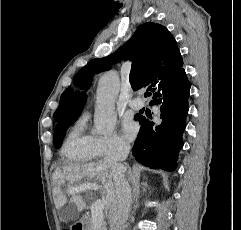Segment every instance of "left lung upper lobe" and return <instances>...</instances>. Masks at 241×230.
<instances>
[{
    "label": "left lung upper lobe",
    "mask_w": 241,
    "mask_h": 230,
    "mask_svg": "<svg viewBox=\"0 0 241 230\" xmlns=\"http://www.w3.org/2000/svg\"><path fill=\"white\" fill-rule=\"evenodd\" d=\"M89 84L82 87V89L87 90L89 88ZM86 94L84 92H76V97L72 102V106L69 110L68 116L65 121L59 122L55 127L54 133V145L56 148H60L62 145V141L66 134V128H68L71 124H73L77 118L80 116L81 111L86 103Z\"/></svg>",
    "instance_id": "left-lung-upper-lobe-1"
}]
</instances>
